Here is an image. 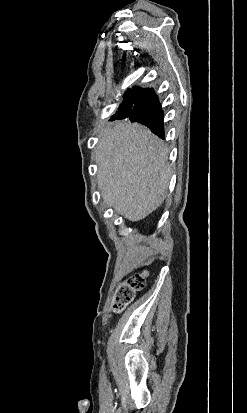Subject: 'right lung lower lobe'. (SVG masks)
<instances>
[{
  "instance_id": "98d812e1",
  "label": "right lung lower lobe",
  "mask_w": 247,
  "mask_h": 413,
  "mask_svg": "<svg viewBox=\"0 0 247 413\" xmlns=\"http://www.w3.org/2000/svg\"><path fill=\"white\" fill-rule=\"evenodd\" d=\"M133 99L123 101L113 120L129 118L132 122H138L150 128V130L164 138L163 111L157 96L152 89L135 88Z\"/></svg>"
}]
</instances>
